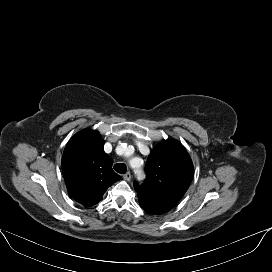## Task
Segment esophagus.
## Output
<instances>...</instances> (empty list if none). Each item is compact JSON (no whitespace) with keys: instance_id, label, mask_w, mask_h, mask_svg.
<instances>
[{"instance_id":"obj_1","label":"esophagus","mask_w":272,"mask_h":272,"mask_svg":"<svg viewBox=\"0 0 272 272\" xmlns=\"http://www.w3.org/2000/svg\"><path fill=\"white\" fill-rule=\"evenodd\" d=\"M124 180L129 181L131 179V173L127 172L126 174L123 175Z\"/></svg>"}]
</instances>
